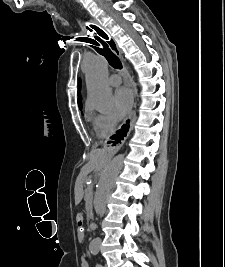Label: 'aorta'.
Here are the masks:
<instances>
[{
	"label": "aorta",
	"mask_w": 225,
	"mask_h": 267,
	"mask_svg": "<svg viewBox=\"0 0 225 267\" xmlns=\"http://www.w3.org/2000/svg\"><path fill=\"white\" fill-rule=\"evenodd\" d=\"M85 75L88 90V104L101 112L108 110L113 104V95L107 82V60L102 56H95L88 60ZM123 160V154L117 155L100 175L93 201L94 210L97 214L101 215L105 212L108 197L122 169ZM99 247L100 240L98 238L94 239L89 246L91 251H97Z\"/></svg>",
	"instance_id": "obj_1"
}]
</instances>
